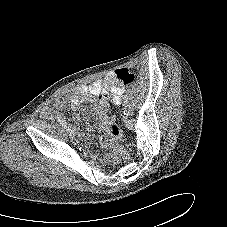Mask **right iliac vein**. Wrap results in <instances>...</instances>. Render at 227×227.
I'll list each match as a JSON object with an SVG mask.
<instances>
[{"label": "right iliac vein", "mask_w": 227, "mask_h": 227, "mask_svg": "<svg viewBox=\"0 0 227 227\" xmlns=\"http://www.w3.org/2000/svg\"><path fill=\"white\" fill-rule=\"evenodd\" d=\"M66 131L72 138L75 137V131L71 127H66Z\"/></svg>", "instance_id": "obj_1"}]
</instances>
